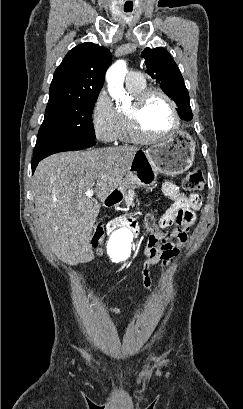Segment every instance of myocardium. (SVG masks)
I'll use <instances>...</instances> for the list:
<instances>
[{
  "instance_id": "f54148a6",
  "label": "myocardium",
  "mask_w": 243,
  "mask_h": 409,
  "mask_svg": "<svg viewBox=\"0 0 243 409\" xmlns=\"http://www.w3.org/2000/svg\"><path fill=\"white\" fill-rule=\"evenodd\" d=\"M152 95H159L161 96L169 105L171 114L173 117V125L172 127L159 135H150L147 134L144 129L142 128L141 121H140V114L142 111L143 106L145 105L146 101ZM126 123L128 126V130L131 134L133 140L138 142H155L161 140L171 134L175 133L181 124V119L179 116V112L177 109V105L175 101L162 89L159 88H147L138 93L134 96L132 104L128 108V110L124 113Z\"/></svg>"
}]
</instances>
